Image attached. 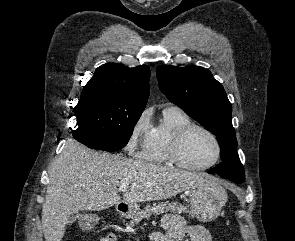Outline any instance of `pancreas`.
I'll list each match as a JSON object with an SVG mask.
<instances>
[{"label": "pancreas", "mask_w": 295, "mask_h": 241, "mask_svg": "<svg viewBox=\"0 0 295 241\" xmlns=\"http://www.w3.org/2000/svg\"><path fill=\"white\" fill-rule=\"evenodd\" d=\"M164 212H177L181 214L182 212H187V208L176 202H162L159 204H153V206H147L143 210H138L131 218L130 226L138 224L142 219L149 218L152 214L160 215Z\"/></svg>", "instance_id": "obj_1"}]
</instances>
